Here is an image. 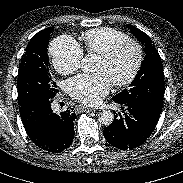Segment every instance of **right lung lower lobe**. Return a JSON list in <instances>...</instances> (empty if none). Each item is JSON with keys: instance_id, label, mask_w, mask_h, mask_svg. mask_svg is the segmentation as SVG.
<instances>
[{"instance_id": "98d812e1", "label": "right lung lower lobe", "mask_w": 183, "mask_h": 183, "mask_svg": "<svg viewBox=\"0 0 183 183\" xmlns=\"http://www.w3.org/2000/svg\"><path fill=\"white\" fill-rule=\"evenodd\" d=\"M51 99H28L20 106V116L29 138L36 146L48 152L59 153L72 143L76 115L70 109L60 115L53 113Z\"/></svg>"}]
</instances>
